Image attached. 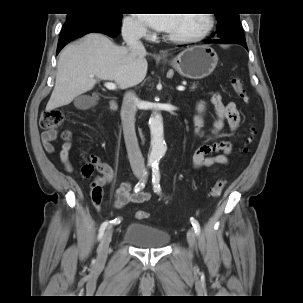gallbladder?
Segmentation results:
<instances>
[{
  "label": "gallbladder",
  "mask_w": 303,
  "mask_h": 303,
  "mask_svg": "<svg viewBox=\"0 0 303 303\" xmlns=\"http://www.w3.org/2000/svg\"><path fill=\"white\" fill-rule=\"evenodd\" d=\"M74 106L80 110L88 109L92 106V97L89 95H79L74 99Z\"/></svg>",
  "instance_id": "gallbladder-1"
}]
</instances>
